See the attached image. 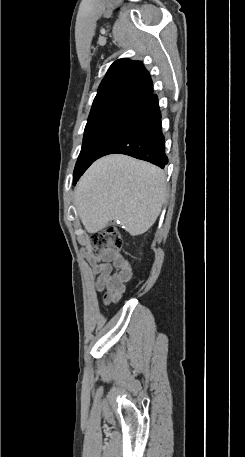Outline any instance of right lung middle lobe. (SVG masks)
I'll return each mask as SVG.
<instances>
[{
  "instance_id": "right-lung-middle-lobe-1",
  "label": "right lung middle lobe",
  "mask_w": 245,
  "mask_h": 457,
  "mask_svg": "<svg viewBox=\"0 0 245 457\" xmlns=\"http://www.w3.org/2000/svg\"><path fill=\"white\" fill-rule=\"evenodd\" d=\"M129 111H104L90 113L85 127L83 145L76 163L74 184L85 170L98 158V155L118 130Z\"/></svg>"
}]
</instances>
